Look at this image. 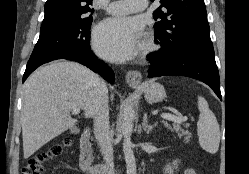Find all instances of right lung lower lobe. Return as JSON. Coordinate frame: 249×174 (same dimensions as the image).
<instances>
[{
  "label": "right lung lower lobe",
  "mask_w": 249,
  "mask_h": 174,
  "mask_svg": "<svg viewBox=\"0 0 249 174\" xmlns=\"http://www.w3.org/2000/svg\"><path fill=\"white\" fill-rule=\"evenodd\" d=\"M56 59H68L79 62L90 68L92 71L98 72L110 83L114 82L113 71L104 62L98 60V58L94 54H92L91 50L81 52H47L39 55L34 59H30L27 63V67L23 76V82L37 67Z\"/></svg>",
  "instance_id": "98d812e1"
}]
</instances>
